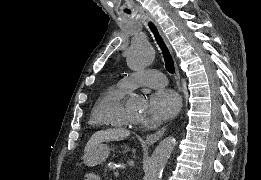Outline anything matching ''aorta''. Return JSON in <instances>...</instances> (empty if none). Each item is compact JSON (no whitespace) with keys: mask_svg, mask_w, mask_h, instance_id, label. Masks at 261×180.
Masks as SVG:
<instances>
[{"mask_svg":"<svg viewBox=\"0 0 261 180\" xmlns=\"http://www.w3.org/2000/svg\"><path fill=\"white\" fill-rule=\"evenodd\" d=\"M155 58V50L147 41L135 42L127 52V64L134 71L141 70L150 65ZM131 107L142 105L141 98L132 94L127 103ZM175 147L172 136L165 138L155 148L151 158L145 166L144 180H160L168 159Z\"/></svg>","mask_w":261,"mask_h":180,"instance_id":"762f6f07","label":"aorta"}]
</instances>
